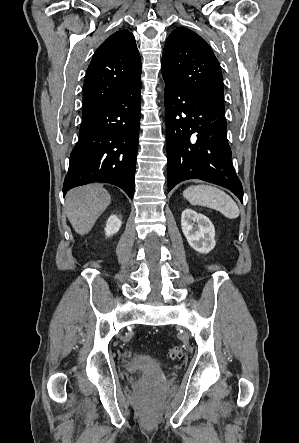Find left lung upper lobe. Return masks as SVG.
<instances>
[{
  "label": "left lung upper lobe",
  "mask_w": 299,
  "mask_h": 443,
  "mask_svg": "<svg viewBox=\"0 0 299 443\" xmlns=\"http://www.w3.org/2000/svg\"><path fill=\"white\" fill-rule=\"evenodd\" d=\"M161 71L180 87L225 113L223 78L218 60L209 45L187 28L168 36Z\"/></svg>",
  "instance_id": "left-lung-upper-lobe-1"
}]
</instances>
